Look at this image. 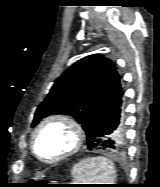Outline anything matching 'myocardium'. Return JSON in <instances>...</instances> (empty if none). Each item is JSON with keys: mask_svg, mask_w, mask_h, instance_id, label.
<instances>
[{"mask_svg": "<svg viewBox=\"0 0 160 187\" xmlns=\"http://www.w3.org/2000/svg\"><path fill=\"white\" fill-rule=\"evenodd\" d=\"M51 124H62L66 126L70 130L73 136V144L67 151L61 153L60 155L51 159H45L37 152V148H36L37 139L40 133L42 132V130ZM84 139H85L84 130L81 124L77 120L66 114H55L46 117L37 125L31 138V150L39 161L46 164H53L75 154L82 147L84 143Z\"/></svg>", "mask_w": 160, "mask_h": 187, "instance_id": "f54148a6", "label": "myocardium"}]
</instances>
